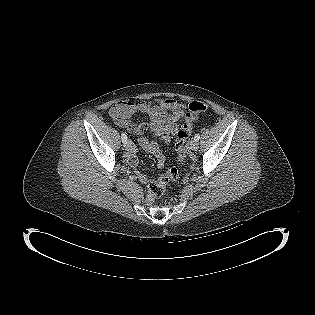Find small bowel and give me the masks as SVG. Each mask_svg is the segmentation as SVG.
<instances>
[{"mask_svg":"<svg viewBox=\"0 0 315 315\" xmlns=\"http://www.w3.org/2000/svg\"><path fill=\"white\" fill-rule=\"evenodd\" d=\"M185 109V104L173 98L155 102L141 101L137 104L122 100L112 105L109 109V116L117 126L126 128L128 135L131 137L143 135L150 129L155 136L168 144L171 135L175 134L177 131L176 125L182 120ZM137 112L149 116L151 123L142 122L132 125L131 117ZM139 144L145 152L156 157L160 167L164 166L165 154L156 141L143 136L140 138ZM126 161L132 167L137 166L138 160L135 148L129 152ZM136 176L143 184L149 182V177L143 173L136 171Z\"/></svg>","mask_w":315,"mask_h":315,"instance_id":"small-bowel-1","label":"small bowel"}]
</instances>
